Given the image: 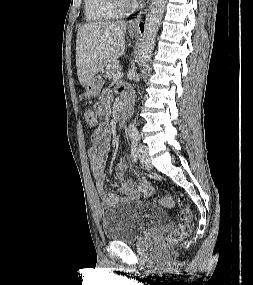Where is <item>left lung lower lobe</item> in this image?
I'll use <instances>...</instances> for the list:
<instances>
[{
    "label": "left lung lower lobe",
    "instance_id": "obj_1",
    "mask_svg": "<svg viewBox=\"0 0 253 285\" xmlns=\"http://www.w3.org/2000/svg\"><path fill=\"white\" fill-rule=\"evenodd\" d=\"M140 26H141V29L143 30V25L141 24Z\"/></svg>",
    "mask_w": 253,
    "mask_h": 285
}]
</instances>
